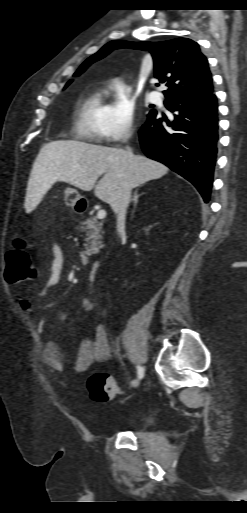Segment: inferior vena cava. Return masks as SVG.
Wrapping results in <instances>:
<instances>
[{"mask_svg":"<svg viewBox=\"0 0 247 513\" xmlns=\"http://www.w3.org/2000/svg\"><path fill=\"white\" fill-rule=\"evenodd\" d=\"M129 137L130 135L127 134L124 137V141L126 142ZM127 153L131 157V152L129 148H127ZM131 190V185H129L128 183H124L119 189L115 201L111 203L113 211L117 214L118 231L120 234H123L125 215L128 205L130 203Z\"/></svg>","mask_w":247,"mask_h":513,"instance_id":"602c4592","label":"inferior vena cava"}]
</instances>
